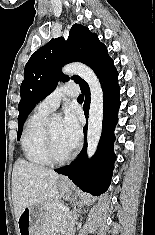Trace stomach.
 Masks as SVG:
<instances>
[{
	"label": "stomach",
	"instance_id": "stomach-1",
	"mask_svg": "<svg viewBox=\"0 0 155 235\" xmlns=\"http://www.w3.org/2000/svg\"><path fill=\"white\" fill-rule=\"evenodd\" d=\"M61 195L69 198L71 195L72 185L69 182L61 181L59 183ZM44 204H34L25 208L18 220L19 235H40V222Z\"/></svg>",
	"mask_w": 155,
	"mask_h": 235
}]
</instances>
